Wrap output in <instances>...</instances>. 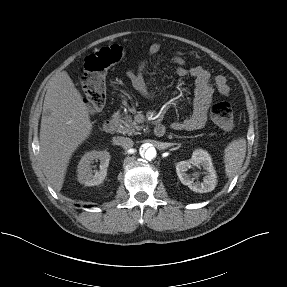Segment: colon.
<instances>
[{
  "mask_svg": "<svg viewBox=\"0 0 287 287\" xmlns=\"http://www.w3.org/2000/svg\"><path fill=\"white\" fill-rule=\"evenodd\" d=\"M125 55L119 45L104 47L85 59L82 88L84 100L93 111L101 110L106 102L105 77L107 70ZM213 122L223 130H231L234 126L233 110L229 102L220 101L211 108Z\"/></svg>",
  "mask_w": 287,
  "mask_h": 287,
  "instance_id": "obj_1",
  "label": "colon"
}]
</instances>
